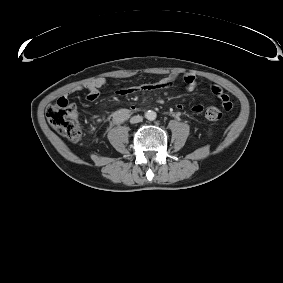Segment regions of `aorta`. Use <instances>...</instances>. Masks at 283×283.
<instances>
[{
  "label": "aorta",
  "instance_id": "aorta-1",
  "mask_svg": "<svg viewBox=\"0 0 283 283\" xmlns=\"http://www.w3.org/2000/svg\"><path fill=\"white\" fill-rule=\"evenodd\" d=\"M156 117H157V114H156V112L153 111V110H149V111H147V112L145 113V118L148 119V120H150V121L155 120Z\"/></svg>",
  "mask_w": 283,
  "mask_h": 283
}]
</instances>
